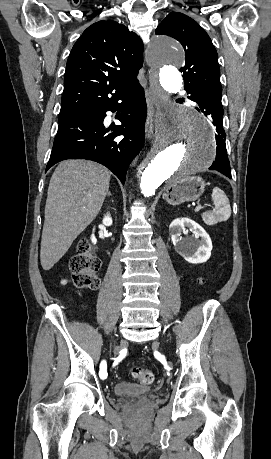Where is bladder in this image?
I'll use <instances>...</instances> for the list:
<instances>
[{"instance_id": "obj_1", "label": "bladder", "mask_w": 271, "mask_h": 459, "mask_svg": "<svg viewBox=\"0 0 271 459\" xmlns=\"http://www.w3.org/2000/svg\"><path fill=\"white\" fill-rule=\"evenodd\" d=\"M116 396H125L134 393L153 394L154 390L151 385H142L128 381H120L114 388Z\"/></svg>"}]
</instances>
